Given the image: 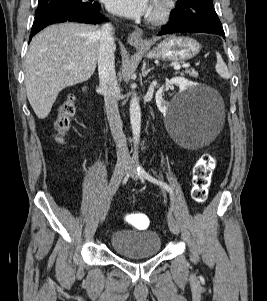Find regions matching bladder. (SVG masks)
Returning <instances> with one entry per match:
<instances>
[{
	"label": "bladder",
	"instance_id": "1",
	"mask_svg": "<svg viewBox=\"0 0 267 301\" xmlns=\"http://www.w3.org/2000/svg\"><path fill=\"white\" fill-rule=\"evenodd\" d=\"M110 246L122 258H146L160 252L161 237L152 230H117L110 237Z\"/></svg>",
	"mask_w": 267,
	"mask_h": 301
}]
</instances>
